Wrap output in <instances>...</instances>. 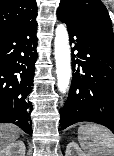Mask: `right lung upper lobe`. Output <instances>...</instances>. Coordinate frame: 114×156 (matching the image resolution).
Returning <instances> with one entry per match:
<instances>
[{
	"mask_svg": "<svg viewBox=\"0 0 114 156\" xmlns=\"http://www.w3.org/2000/svg\"><path fill=\"white\" fill-rule=\"evenodd\" d=\"M36 16L35 0H0V34Z\"/></svg>",
	"mask_w": 114,
	"mask_h": 156,
	"instance_id": "cb5924a9",
	"label": "right lung upper lobe"
}]
</instances>
